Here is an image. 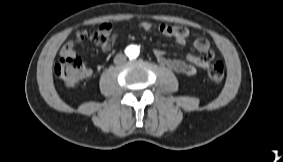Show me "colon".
I'll use <instances>...</instances> for the list:
<instances>
[{
  "instance_id": "1",
  "label": "colon",
  "mask_w": 283,
  "mask_h": 162,
  "mask_svg": "<svg viewBox=\"0 0 283 162\" xmlns=\"http://www.w3.org/2000/svg\"><path fill=\"white\" fill-rule=\"evenodd\" d=\"M55 75L68 87H74L88 75V69L78 56H62L54 65ZM208 78L214 84H221L224 79V66L221 61H214L208 68Z\"/></svg>"
}]
</instances>
